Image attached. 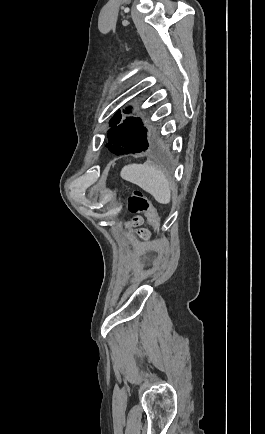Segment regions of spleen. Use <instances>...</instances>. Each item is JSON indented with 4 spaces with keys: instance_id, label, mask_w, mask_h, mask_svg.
<instances>
[{
    "instance_id": "spleen-1",
    "label": "spleen",
    "mask_w": 265,
    "mask_h": 434,
    "mask_svg": "<svg viewBox=\"0 0 265 434\" xmlns=\"http://www.w3.org/2000/svg\"><path fill=\"white\" fill-rule=\"evenodd\" d=\"M120 176L123 180L137 184L142 190L149 192L159 204H169L170 184L161 170L148 164H129L122 168Z\"/></svg>"
}]
</instances>
